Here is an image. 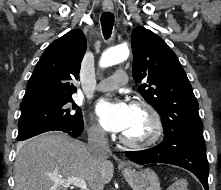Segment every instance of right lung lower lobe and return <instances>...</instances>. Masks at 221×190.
I'll return each instance as SVG.
<instances>
[{
  "label": "right lung lower lobe",
  "mask_w": 221,
  "mask_h": 190,
  "mask_svg": "<svg viewBox=\"0 0 221 190\" xmlns=\"http://www.w3.org/2000/svg\"><path fill=\"white\" fill-rule=\"evenodd\" d=\"M60 131L66 132L70 136L77 138L83 132V127L79 128L77 130H60Z\"/></svg>",
  "instance_id": "right-lung-lower-lobe-1"
}]
</instances>
